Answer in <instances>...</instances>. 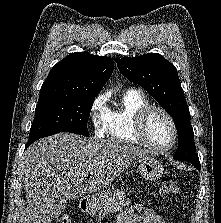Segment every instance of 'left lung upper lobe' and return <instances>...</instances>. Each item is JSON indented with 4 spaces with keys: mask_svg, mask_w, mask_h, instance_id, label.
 <instances>
[{
    "mask_svg": "<svg viewBox=\"0 0 221 223\" xmlns=\"http://www.w3.org/2000/svg\"><path fill=\"white\" fill-rule=\"evenodd\" d=\"M117 66L128 80L141 85L173 117L179 137L174 159L200 164L190 112L176 67L156 53L126 57L119 60Z\"/></svg>",
    "mask_w": 221,
    "mask_h": 223,
    "instance_id": "5c2ea615",
    "label": "left lung upper lobe"
}]
</instances>
